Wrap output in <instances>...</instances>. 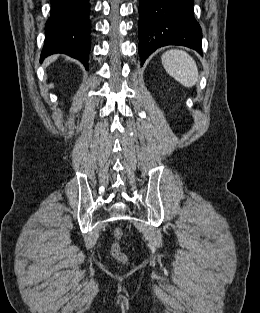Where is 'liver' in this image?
Returning a JSON list of instances; mask_svg holds the SVG:
<instances>
[{
    "label": "liver",
    "instance_id": "liver-1",
    "mask_svg": "<svg viewBox=\"0 0 260 313\" xmlns=\"http://www.w3.org/2000/svg\"><path fill=\"white\" fill-rule=\"evenodd\" d=\"M57 59V55L51 56L49 59H47L45 66L49 65L51 62L55 61Z\"/></svg>",
    "mask_w": 260,
    "mask_h": 313
}]
</instances>
